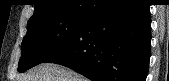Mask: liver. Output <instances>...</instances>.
Segmentation results:
<instances>
[{"mask_svg": "<svg viewBox=\"0 0 169 81\" xmlns=\"http://www.w3.org/2000/svg\"><path fill=\"white\" fill-rule=\"evenodd\" d=\"M18 79V81H87L73 70L54 63H41Z\"/></svg>", "mask_w": 169, "mask_h": 81, "instance_id": "obj_1", "label": "liver"}]
</instances>
